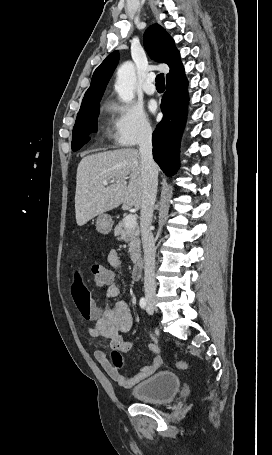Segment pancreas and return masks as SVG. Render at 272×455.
<instances>
[{
  "instance_id": "1",
  "label": "pancreas",
  "mask_w": 272,
  "mask_h": 455,
  "mask_svg": "<svg viewBox=\"0 0 272 455\" xmlns=\"http://www.w3.org/2000/svg\"><path fill=\"white\" fill-rule=\"evenodd\" d=\"M114 235L119 241H125L129 244L130 258L133 263L140 259V239L139 227L136 224L131 228L125 227L124 220L120 221L114 229Z\"/></svg>"
}]
</instances>
